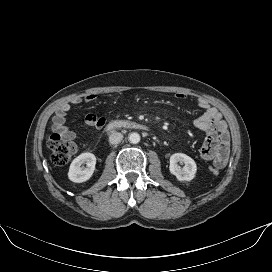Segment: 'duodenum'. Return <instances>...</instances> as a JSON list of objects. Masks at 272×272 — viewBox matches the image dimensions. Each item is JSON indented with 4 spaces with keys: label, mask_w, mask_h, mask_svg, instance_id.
Here are the masks:
<instances>
[{
    "label": "duodenum",
    "mask_w": 272,
    "mask_h": 272,
    "mask_svg": "<svg viewBox=\"0 0 272 272\" xmlns=\"http://www.w3.org/2000/svg\"><path fill=\"white\" fill-rule=\"evenodd\" d=\"M136 129V130H145L146 126L142 123L134 122V121H128V120H113L110 121L107 126V131H114L117 129Z\"/></svg>",
    "instance_id": "duodenum-1"
}]
</instances>
